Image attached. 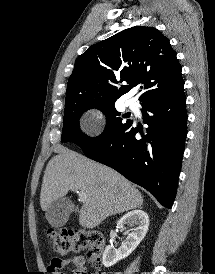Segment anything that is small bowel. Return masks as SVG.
Returning <instances> with one entry per match:
<instances>
[{"label":"small bowel","instance_id":"1","mask_svg":"<svg viewBox=\"0 0 215 274\" xmlns=\"http://www.w3.org/2000/svg\"><path fill=\"white\" fill-rule=\"evenodd\" d=\"M70 267L74 274H88L86 260L82 255H75L69 258H53L47 268L52 274H65L62 270ZM106 274V273H100Z\"/></svg>","mask_w":215,"mask_h":274}]
</instances>
